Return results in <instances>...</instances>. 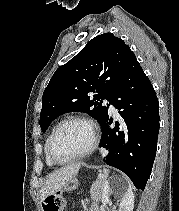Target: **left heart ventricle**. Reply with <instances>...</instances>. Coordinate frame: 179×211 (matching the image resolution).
<instances>
[{"label":"left heart ventricle","instance_id":"1","mask_svg":"<svg viewBox=\"0 0 179 211\" xmlns=\"http://www.w3.org/2000/svg\"><path fill=\"white\" fill-rule=\"evenodd\" d=\"M92 140L90 127L83 122L66 124L58 132L53 153L59 160H68L88 148Z\"/></svg>","mask_w":179,"mask_h":211}]
</instances>
